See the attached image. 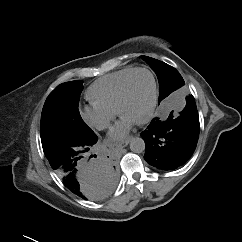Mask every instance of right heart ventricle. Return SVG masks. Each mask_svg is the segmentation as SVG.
Segmentation results:
<instances>
[{"label":"right heart ventricle","mask_w":242,"mask_h":242,"mask_svg":"<svg viewBox=\"0 0 242 242\" xmlns=\"http://www.w3.org/2000/svg\"><path fill=\"white\" fill-rule=\"evenodd\" d=\"M134 69L136 68L125 67L99 78L88 88L86 92L88 99L98 106L116 111L120 87L127 75Z\"/></svg>","instance_id":"obj_1"}]
</instances>
